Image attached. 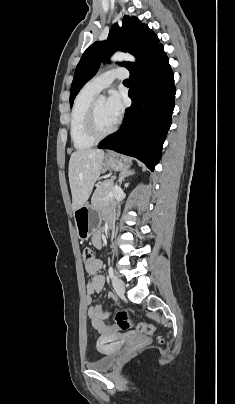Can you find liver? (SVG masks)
Returning <instances> with one entry per match:
<instances>
[{"mask_svg":"<svg viewBox=\"0 0 235 404\" xmlns=\"http://www.w3.org/2000/svg\"><path fill=\"white\" fill-rule=\"evenodd\" d=\"M104 157V151L98 149L78 150L71 154L68 176L73 211L87 202L102 172Z\"/></svg>","mask_w":235,"mask_h":404,"instance_id":"obj_1","label":"liver"}]
</instances>
